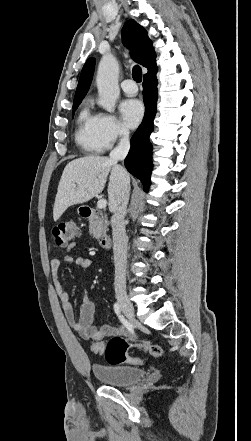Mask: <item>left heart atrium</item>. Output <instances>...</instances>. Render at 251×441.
Segmentation results:
<instances>
[{"label":"left heart atrium","instance_id":"1","mask_svg":"<svg viewBox=\"0 0 251 441\" xmlns=\"http://www.w3.org/2000/svg\"><path fill=\"white\" fill-rule=\"evenodd\" d=\"M120 112L125 126L135 128L143 118L144 107L137 99H126L120 104Z\"/></svg>","mask_w":251,"mask_h":441}]
</instances>
